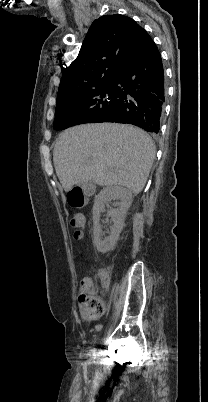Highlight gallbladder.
I'll return each instance as SVG.
<instances>
[{
    "mask_svg": "<svg viewBox=\"0 0 208 402\" xmlns=\"http://www.w3.org/2000/svg\"><path fill=\"white\" fill-rule=\"evenodd\" d=\"M97 188H98V183L96 181H87L83 188V193L85 195H94L96 193Z\"/></svg>",
    "mask_w": 208,
    "mask_h": 402,
    "instance_id": "obj_1",
    "label": "gallbladder"
}]
</instances>
